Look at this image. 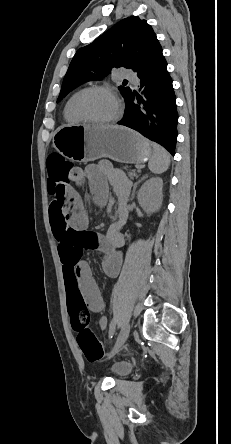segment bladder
<instances>
[{
	"label": "bladder",
	"instance_id": "31cf9c89",
	"mask_svg": "<svg viewBox=\"0 0 231 444\" xmlns=\"http://www.w3.org/2000/svg\"><path fill=\"white\" fill-rule=\"evenodd\" d=\"M132 369H133V365L131 363L120 361V362H117L113 365L112 372L117 377H123V376L129 374L132 371Z\"/></svg>",
	"mask_w": 231,
	"mask_h": 444
}]
</instances>
